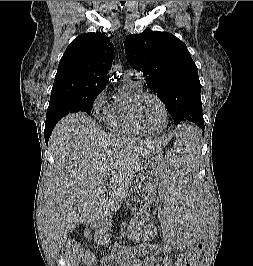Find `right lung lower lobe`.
<instances>
[{"mask_svg":"<svg viewBox=\"0 0 253 266\" xmlns=\"http://www.w3.org/2000/svg\"><path fill=\"white\" fill-rule=\"evenodd\" d=\"M56 123L57 122H54V123H45L44 136H45L46 144H48L49 137H50L51 132H52L53 128L55 127V124Z\"/></svg>","mask_w":253,"mask_h":266,"instance_id":"right-lung-lower-lobe-1","label":"right lung lower lobe"}]
</instances>
